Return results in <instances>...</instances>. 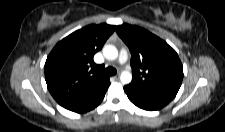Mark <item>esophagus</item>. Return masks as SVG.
<instances>
[{
    "label": "esophagus",
    "mask_w": 225,
    "mask_h": 132,
    "mask_svg": "<svg viewBox=\"0 0 225 132\" xmlns=\"http://www.w3.org/2000/svg\"><path fill=\"white\" fill-rule=\"evenodd\" d=\"M112 78H113L114 80H116V81H117V80H119L120 75H119V74H117V75L113 76Z\"/></svg>",
    "instance_id": "obj_1"
}]
</instances>
